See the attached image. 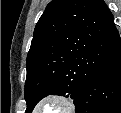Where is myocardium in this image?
I'll return each instance as SVG.
<instances>
[{"mask_svg":"<svg viewBox=\"0 0 121 113\" xmlns=\"http://www.w3.org/2000/svg\"><path fill=\"white\" fill-rule=\"evenodd\" d=\"M47 101L62 103L65 106V110L62 113H70L72 110H74V103L69 97L62 94H47L37 101L33 109L34 113H39V108Z\"/></svg>","mask_w":121,"mask_h":113,"instance_id":"1","label":"myocardium"}]
</instances>
